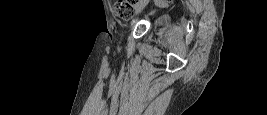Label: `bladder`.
Masks as SVG:
<instances>
[{
  "instance_id": "31cf9c89",
  "label": "bladder",
  "mask_w": 267,
  "mask_h": 115,
  "mask_svg": "<svg viewBox=\"0 0 267 115\" xmlns=\"http://www.w3.org/2000/svg\"><path fill=\"white\" fill-rule=\"evenodd\" d=\"M168 22V18L165 15H161L156 18L155 24L158 26H163Z\"/></svg>"
}]
</instances>
